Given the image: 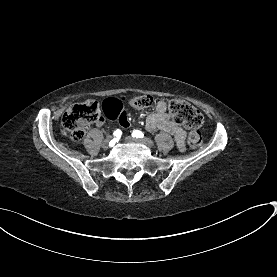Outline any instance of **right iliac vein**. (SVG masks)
<instances>
[{
    "label": "right iliac vein",
    "mask_w": 277,
    "mask_h": 277,
    "mask_svg": "<svg viewBox=\"0 0 277 277\" xmlns=\"http://www.w3.org/2000/svg\"><path fill=\"white\" fill-rule=\"evenodd\" d=\"M109 146H110V141H109L108 139L105 140V141L102 143V147H103L104 149H108Z\"/></svg>",
    "instance_id": "right-iliac-vein-1"
}]
</instances>
